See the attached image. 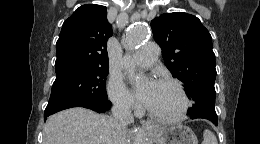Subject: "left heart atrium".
Returning <instances> with one entry per match:
<instances>
[{"label": "left heart atrium", "mask_w": 260, "mask_h": 144, "mask_svg": "<svg viewBox=\"0 0 260 144\" xmlns=\"http://www.w3.org/2000/svg\"><path fill=\"white\" fill-rule=\"evenodd\" d=\"M156 84L157 82L152 80L149 81L144 87L138 89V97L145 105H148L151 101L156 88Z\"/></svg>", "instance_id": "1"}]
</instances>
